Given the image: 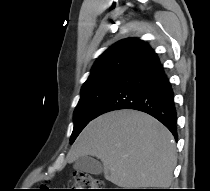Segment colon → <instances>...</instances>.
I'll return each mask as SVG.
<instances>
[{"label":"colon","instance_id":"5ec220e1","mask_svg":"<svg viewBox=\"0 0 210 191\" xmlns=\"http://www.w3.org/2000/svg\"><path fill=\"white\" fill-rule=\"evenodd\" d=\"M73 181V191H104L102 181L87 173H75Z\"/></svg>","mask_w":210,"mask_h":191}]
</instances>
